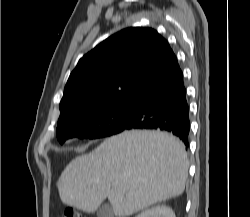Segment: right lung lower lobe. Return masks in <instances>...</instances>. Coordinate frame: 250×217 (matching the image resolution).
I'll return each instance as SVG.
<instances>
[{"instance_id":"1","label":"right lung lower lobe","mask_w":250,"mask_h":217,"mask_svg":"<svg viewBox=\"0 0 250 217\" xmlns=\"http://www.w3.org/2000/svg\"><path fill=\"white\" fill-rule=\"evenodd\" d=\"M135 101L134 115L124 130H164L189 146V106L179 66L164 80L139 94Z\"/></svg>"}]
</instances>
